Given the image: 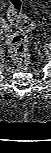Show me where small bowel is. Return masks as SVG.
<instances>
[{"label":"small bowel","mask_w":51,"mask_h":153,"mask_svg":"<svg viewBox=\"0 0 51 153\" xmlns=\"http://www.w3.org/2000/svg\"><path fill=\"white\" fill-rule=\"evenodd\" d=\"M2 25L5 27L7 24L4 21H2Z\"/></svg>","instance_id":"small-bowel-1"}]
</instances>
